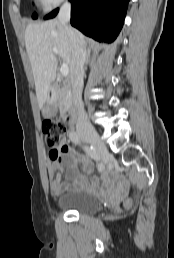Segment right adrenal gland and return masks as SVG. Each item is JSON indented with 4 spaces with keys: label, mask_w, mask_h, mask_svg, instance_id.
<instances>
[{
    "label": "right adrenal gland",
    "mask_w": 174,
    "mask_h": 258,
    "mask_svg": "<svg viewBox=\"0 0 174 258\" xmlns=\"http://www.w3.org/2000/svg\"><path fill=\"white\" fill-rule=\"evenodd\" d=\"M90 55H91V49L88 48L87 49V54H86V64H88L89 61H90Z\"/></svg>",
    "instance_id": "obj_1"
}]
</instances>
